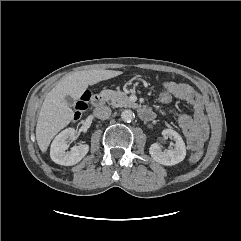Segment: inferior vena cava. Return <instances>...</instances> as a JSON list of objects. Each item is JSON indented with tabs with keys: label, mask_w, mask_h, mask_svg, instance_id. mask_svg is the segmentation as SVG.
Returning a JSON list of instances; mask_svg holds the SVG:
<instances>
[{
	"label": "inferior vena cava",
	"mask_w": 241,
	"mask_h": 241,
	"mask_svg": "<svg viewBox=\"0 0 241 241\" xmlns=\"http://www.w3.org/2000/svg\"><path fill=\"white\" fill-rule=\"evenodd\" d=\"M111 109L108 106H100L94 110V115L99 119H108L111 115Z\"/></svg>",
	"instance_id": "602c4592"
}]
</instances>
